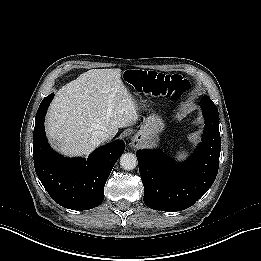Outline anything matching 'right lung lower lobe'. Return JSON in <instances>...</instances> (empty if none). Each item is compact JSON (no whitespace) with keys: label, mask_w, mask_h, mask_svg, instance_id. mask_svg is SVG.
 I'll return each instance as SVG.
<instances>
[{"label":"right lung lower lobe","mask_w":261,"mask_h":261,"mask_svg":"<svg viewBox=\"0 0 261 261\" xmlns=\"http://www.w3.org/2000/svg\"><path fill=\"white\" fill-rule=\"evenodd\" d=\"M54 94L41 102L33 134L34 167L51 198L72 210H88L104 200V186L113 166L123 154L125 143L114 141L85 158H65L54 152L45 136L44 118Z\"/></svg>","instance_id":"right-lung-lower-lobe-1"}]
</instances>
